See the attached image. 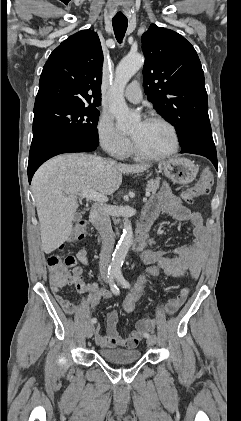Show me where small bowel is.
<instances>
[{
	"mask_svg": "<svg viewBox=\"0 0 241 421\" xmlns=\"http://www.w3.org/2000/svg\"><path fill=\"white\" fill-rule=\"evenodd\" d=\"M161 213H167L180 221L190 222L193 227L192 232L194 239L190 243L177 248L172 253L152 248L147 249L142 253V262L144 264H159L162 270L172 277L190 280L196 279L203 267L208 247V231L200 213L186 207L168 185H164L152 198L146 206L144 214L156 218ZM76 258L83 265H90L86 247H82L77 252ZM186 271H188V276H186ZM67 284H73L79 293L88 294L92 309L95 308L100 301L111 296L110 291L101 289L96 284L85 283L81 271V273L71 282L62 285H52L51 288L57 302L62 309L70 315L79 312L80 307L59 293L60 288ZM188 293V288L181 289L175 298L170 299L166 303L165 313L168 315L176 313L185 303ZM117 323L118 312L116 310H111L106 317V334H101V327L100 325H97L95 341L100 348L122 347L133 349L138 346L144 334L154 326V321L151 318L144 317L137 321L135 328L130 331L127 336L122 337L117 331Z\"/></svg>",
	"mask_w": 241,
	"mask_h": 421,
	"instance_id": "small-bowel-1",
	"label": "small bowel"
}]
</instances>
